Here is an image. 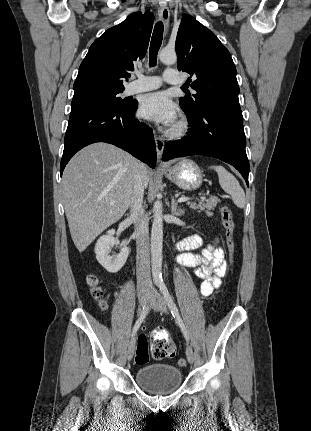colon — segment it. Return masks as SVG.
<instances>
[{
	"label": "colon",
	"instance_id": "1",
	"mask_svg": "<svg viewBox=\"0 0 311 431\" xmlns=\"http://www.w3.org/2000/svg\"><path fill=\"white\" fill-rule=\"evenodd\" d=\"M221 213V223L225 232L226 245L228 249V256L230 263L235 260V242H234V229L235 223L233 219V214L228 206H222L220 208ZM87 284L90 288V293L95 300H97L102 308L106 307V302L104 301V291L100 285L98 277L94 274H89L87 276ZM151 354L156 359L169 358L174 356L175 346L173 342L164 336H156L153 338L151 345L149 347L148 340L145 335H140L137 339V350L135 356V362L138 365H144L149 361V356ZM179 366H185V359L181 358L178 360Z\"/></svg>",
	"mask_w": 311,
	"mask_h": 431
}]
</instances>
